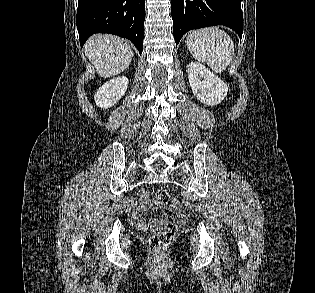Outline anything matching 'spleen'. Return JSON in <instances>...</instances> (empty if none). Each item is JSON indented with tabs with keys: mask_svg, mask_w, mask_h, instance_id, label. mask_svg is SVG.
Masks as SVG:
<instances>
[{
	"mask_svg": "<svg viewBox=\"0 0 315 293\" xmlns=\"http://www.w3.org/2000/svg\"><path fill=\"white\" fill-rule=\"evenodd\" d=\"M186 46L199 62H205L214 72H223L234 56V43L224 31L209 27L192 31Z\"/></svg>",
	"mask_w": 315,
	"mask_h": 293,
	"instance_id": "obj_1",
	"label": "spleen"
}]
</instances>
